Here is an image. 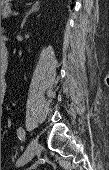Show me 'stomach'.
Returning <instances> with one entry per match:
<instances>
[{
  "mask_svg": "<svg viewBox=\"0 0 109 170\" xmlns=\"http://www.w3.org/2000/svg\"><path fill=\"white\" fill-rule=\"evenodd\" d=\"M12 0H1V6H6L8 5Z\"/></svg>",
  "mask_w": 109,
  "mask_h": 170,
  "instance_id": "0dacf381",
  "label": "stomach"
}]
</instances>
